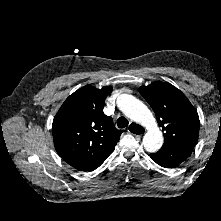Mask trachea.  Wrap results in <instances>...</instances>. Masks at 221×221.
I'll use <instances>...</instances> for the list:
<instances>
[{"instance_id": "obj_1", "label": "trachea", "mask_w": 221, "mask_h": 221, "mask_svg": "<svg viewBox=\"0 0 221 221\" xmlns=\"http://www.w3.org/2000/svg\"><path fill=\"white\" fill-rule=\"evenodd\" d=\"M128 120L125 117H119L117 120V126L119 128H125L128 126Z\"/></svg>"}]
</instances>
